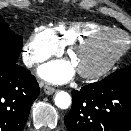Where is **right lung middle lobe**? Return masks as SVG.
<instances>
[{
    "mask_svg": "<svg viewBox=\"0 0 131 131\" xmlns=\"http://www.w3.org/2000/svg\"><path fill=\"white\" fill-rule=\"evenodd\" d=\"M22 44L21 36L14 34L0 16V63L17 62Z\"/></svg>",
    "mask_w": 131,
    "mask_h": 131,
    "instance_id": "obj_1",
    "label": "right lung middle lobe"
}]
</instances>
